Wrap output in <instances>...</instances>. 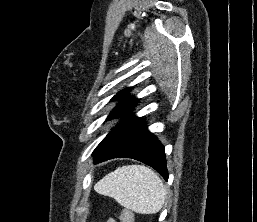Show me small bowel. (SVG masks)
<instances>
[{"instance_id":"c3829d8e","label":"small bowel","mask_w":257,"mask_h":222,"mask_svg":"<svg viewBox=\"0 0 257 222\" xmlns=\"http://www.w3.org/2000/svg\"><path fill=\"white\" fill-rule=\"evenodd\" d=\"M108 222H116L115 220H113V219H110Z\"/></svg>"}]
</instances>
